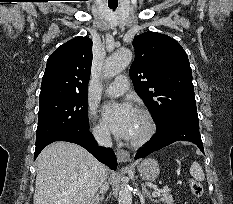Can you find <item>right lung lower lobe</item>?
Wrapping results in <instances>:
<instances>
[{
  "mask_svg": "<svg viewBox=\"0 0 233 204\" xmlns=\"http://www.w3.org/2000/svg\"><path fill=\"white\" fill-rule=\"evenodd\" d=\"M55 141L76 143L88 150L101 163H104L112 170H116L117 159L113 150L111 148L97 147L96 141L89 130L63 133L53 139L37 144L35 148L34 160L45 146Z\"/></svg>",
  "mask_w": 233,
  "mask_h": 204,
  "instance_id": "right-lung-lower-lobe-1",
  "label": "right lung lower lobe"
}]
</instances>
